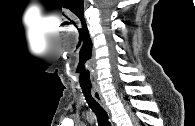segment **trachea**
Listing matches in <instances>:
<instances>
[{
	"mask_svg": "<svg viewBox=\"0 0 195 126\" xmlns=\"http://www.w3.org/2000/svg\"><path fill=\"white\" fill-rule=\"evenodd\" d=\"M82 92L85 96V99L89 105V107L92 109V111L95 113L98 125L99 126H111L109 120H108V114L104 110V108L93 98L91 94V87H82Z\"/></svg>",
	"mask_w": 195,
	"mask_h": 126,
	"instance_id": "1",
	"label": "trachea"
}]
</instances>
